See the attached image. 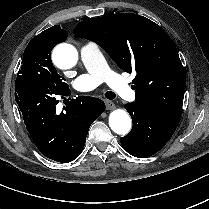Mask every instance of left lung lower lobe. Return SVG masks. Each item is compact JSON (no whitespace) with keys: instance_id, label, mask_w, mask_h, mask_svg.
Masks as SVG:
<instances>
[{"instance_id":"obj_1","label":"left lung lower lobe","mask_w":209,"mask_h":209,"mask_svg":"<svg viewBox=\"0 0 209 209\" xmlns=\"http://www.w3.org/2000/svg\"><path fill=\"white\" fill-rule=\"evenodd\" d=\"M133 127L121 138V144L131 155L144 158L157 153L175 132L179 118L154 111L136 102L127 103Z\"/></svg>"}]
</instances>
